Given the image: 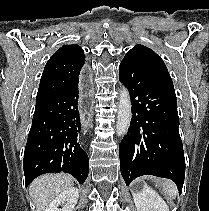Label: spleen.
Here are the masks:
<instances>
[{"label": "spleen", "mask_w": 209, "mask_h": 211, "mask_svg": "<svg viewBox=\"0 0 209 211\" xmlns=\"http://www.w3.org/2000/svg\"><path fill=\"white\" fill-rule=\"evenodd\" d=\"M163 193L169 199H174L177 194V187L171 180H164L162 182Z\"/></svg>", "instance_id": "obj_1"}]
</instances>
